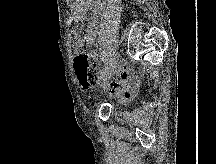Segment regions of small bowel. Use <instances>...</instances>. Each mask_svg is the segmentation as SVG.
Returning <instances> with one entry per match:
<instances>
[{"label":"small bowel","mask_w":216,"mask_h":164,"mask_svg":"<svg viewBox=\"0 0 216 164\" xmlns=\"http://www.w3.org/2000/svg\"><path fill=\"white\" fill-rule=\"evenodd\" d=\"M96 34L97 25L95 19L92 18L83 37L84 43L92 45ZM137 83L138 81L135 75L128 68H123L116 73L111 83L105 85L106 91L109 94L124 99L129 98L134 94Z\"/></svg>","instance_id":"1"}]
</instances>
